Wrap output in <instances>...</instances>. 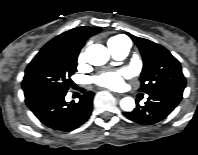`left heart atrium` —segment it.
<instances>
[{
	"instance_id": "1",
	"label": "left heart atrium",
	"mask_w": 198,
	"mask_h": 155,
	"mask_svg": "<svg viewBox=\"0 0 198 155\" xmlns=\"http://www.w3.org/2000/svg\"><path fill=\"white\" fill-rule=\"evenodd\" d=\"M123 76L124 72L109 71L94 77L93 81L102 87L119 89L123 86Z\"/></svg>"
}]
</instances>
